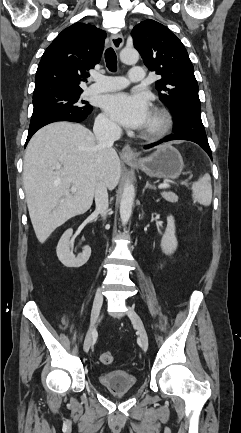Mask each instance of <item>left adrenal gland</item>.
Masks as SVG:
<instances>
[{"mask_svg":"<svg viewBox=\"0 0 241 433\" xmlns=\"http://www.w3.org/2000/svg\"><path fill=\"white\" fill-rule=\"evenodd\" d=\"M148 188H149V189H155V187L147 181V182H146V185H145V187H144V189H143V193H144L145 190L148 189Z\"/></svg>","mask_w":241,"mask_h":433,"instance_id":"1","label":"left adrenal gland"}]
</instances>
